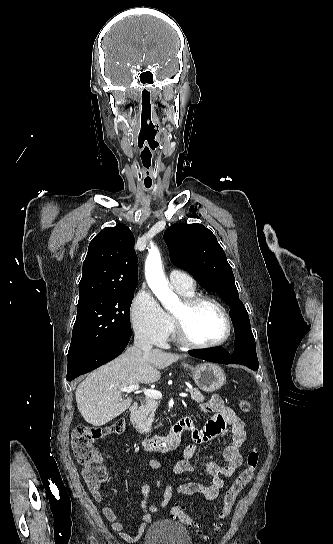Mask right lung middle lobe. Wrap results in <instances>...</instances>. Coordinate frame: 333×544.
I'll return each mask as SVG.
<instances>
[{
	"label": "right lung middle lobe",
	"instance_id": "right-lung-middle-lobe-1",
	"mask_svg": "<svg viewBox=\"0 0 333 544\" xmlns=\"http://www.w3.org/2000/svg\"><path fill=\"white\" fill-rule=\"evenodd\" d=\"M134 291H111L78 303L68 359L111 335L131 331L129 312Z\"/></svg>",
	"mask_w": 333,
	"mask_h": 544
}]
</instances>
